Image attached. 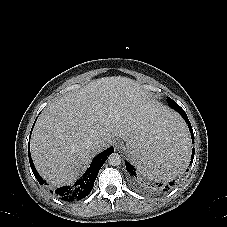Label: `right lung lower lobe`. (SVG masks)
I'll return each instance as SVG.
<instances>
[{
  "mask_svg": "<svg viewBox=\"0 0 227 227\" xmlns=\"http://www.w3.org/2000/svg\"><path fill=\"white\" fill-rule=\"evenodd\" d=\"M114 152V148L110 147L107 150L103 151L99 155H97L86 173L77 181L73 186H64L60 187L55 190V194L59 196L61 199L65 201H74V200H80L84 197H86L92 190L94 186V182L96 180V177L98 175V172L108 156ZM28 154H29V161L30 166L33 171L34 176L38 180V182L42 185L45 183V181L40 177L38 172L35 169V166L32 162L31 156H30V146L28 144Z\"/></svg>",
  "mask_w": 227,
  "mask_h": 227,
  "instance_id": "obj_1",
  "label": "right lung lower lobe"
}]
</instances>
